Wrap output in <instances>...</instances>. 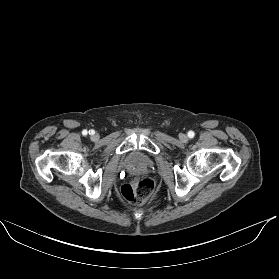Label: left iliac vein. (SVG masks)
I'll return each instance as SVG.
<instances>
[{
    "label": "left iliac vein",
    "instance_id": "4c4485c4",
    "mask_svg": "<svg viewBox=\"0 0 279 279\" xmlns=\"http://www.w3.org/2000/svg\"><path fill=\"white\" fill-rule=\"evenodd\" d=\"M180 140H181L182 142H187V141H188V136H187L186 134H181V135H180Z\"/></svg>",
    "mask_w": 279,
    "mask_h": 279
}]
</instances>
